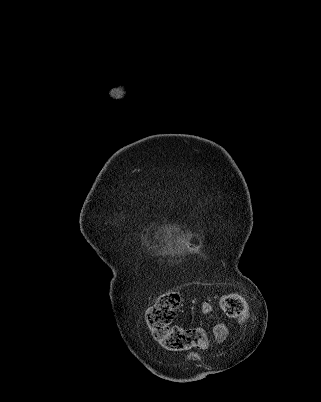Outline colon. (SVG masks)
I'll return each mask as SVG.
<instances>
[{
    "mask_svg": "<svg viewBox=\"0 0 321 402\" xmlns=\"http://www.w3.org/2000/svg\"><path fill=\"white\" fill-rule=\"evenodd\" d=\"M180 303V294L177 291H168L147 308L145 322L153 340L162 348L172 352L206 349L210 339L204 329L172 325ZM219 305L222 311L231 318L245 320L248 315L247 302L238 293L221 296Z\"/></svg>",
    "mask_w": 321,
    "mask_h": 402,
    "instance_id": "1",
    "label": "colon"
}]
</instances>
